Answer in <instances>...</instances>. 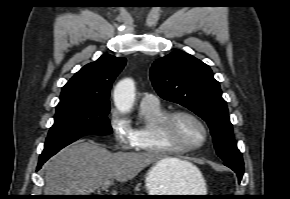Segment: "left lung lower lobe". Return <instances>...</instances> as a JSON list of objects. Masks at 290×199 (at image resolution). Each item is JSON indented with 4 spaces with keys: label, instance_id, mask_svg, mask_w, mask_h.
Returning <instances> with one entry per match:
<instances>
[{
    "label": "left lung lower lobe",
    "instance_id": "left-lung-lower-lobe-1",
    "mask_svg": "<svg viewBox=\"0 0 290 199\" xmlns=\"http://www.w3.org/2000/svg\"><path fill=\"white\" fill-rule=\"evenodd\" d=\"M224 164L231 168L238 176L240 182L243 176L244 164L243 161H224Z\"/></svg>",
    "mask_w": 290,
    "mask_h": 199
}]
</instances>
